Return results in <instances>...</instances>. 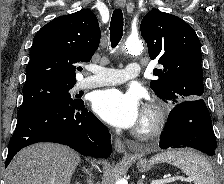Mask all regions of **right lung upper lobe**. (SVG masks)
Masks as SVG:
<instances>
[{
    "instance_id": "right-lung-upper-lobe-1",
    "label": "right lung upper lobe",
    "mask_w": 224,
    "mask_h": 184,
    "mask_svg": "<svg viewBox=\"0 0 224 184\" xmlns=\"http://www.w3.org/2000/svg\"><path fill=\"white\" fill-rule=\"evenodd\" d=\"M100 37L97 18L89 9L53 19L33 39L25 84L75 83V64L91 60Z\"/></svg>"
}]
</instances>
